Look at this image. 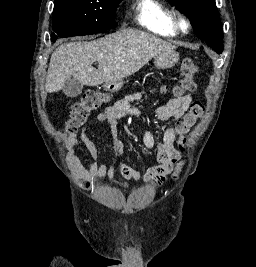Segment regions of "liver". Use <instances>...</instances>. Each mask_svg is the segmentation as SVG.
<instances>
[{"label":"liver","instance_id":"6515ba94","mask_svg":"<svg viewBox=\"0 0 256 267\" xmlns=\"http://www.w3.org/2000/svg\"><path fill=\"white\" fill-rule=\"evenodd\" d=\"M172 50L176 46L169 42L130 28L94 42L61 44L50 58L45 90L50 94L59 92L69 78H76L85 86L116 82L132 76L158 54ZM93 62H98V70L93 68Z\"/></svg>","mask_w":256,"mask_h":267}]
</instances>
